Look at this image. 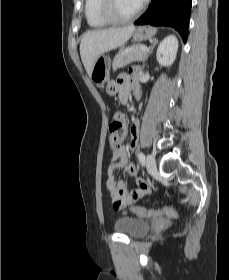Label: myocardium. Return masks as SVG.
Returning <instances> with one entry per match:
<instances>
[{"label":"myocardium","instance_id":"1","mask_svg":"<svg viewBox=\"0 0 229 280\" xmlns=\"http://www.w3.org/2000/svg\"><path fill=\"white\" fill-rule=\"evenodd\" d=\"M148 0L145 1V3ZM115 0H101L99 13L102 19L110 24H124L135 20L143 10L145 3L129 16H120L114 8Z\"/></svg>","mask_w":229,"mask_h":280}]
</instances>
